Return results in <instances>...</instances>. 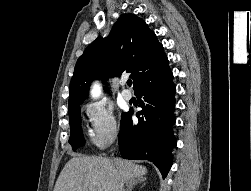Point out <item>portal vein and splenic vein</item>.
<instances>
[{
  "mask_svg": "<svg viewBox=\"0 0 251 191\" xmlns=\"http://www.w3.org/2000/svg\"><path fill=\"white\" fill-rule=\"evenodd\" d=\"M94 189H96V191H103V189H101V187H99V185H94Z\"/></svg>",
  "mask_w": 251,
  "mask_h": 191,
  "instance_id": "18ae733b",
  "label": "portal vein and splenic vein"
}]
</instances>
